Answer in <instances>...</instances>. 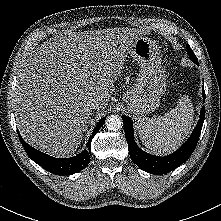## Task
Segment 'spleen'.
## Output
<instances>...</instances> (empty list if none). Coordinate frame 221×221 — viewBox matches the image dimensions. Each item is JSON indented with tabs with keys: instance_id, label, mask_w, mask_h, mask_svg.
I'll list each match as a JSON object with an SVG mask.
<instances>
[{
	"instance_id": "obj_1",
	"label": "spleen",
	"mask_w": 221,
	"mask_h": 221,
	"mask_svg": "<svg viewBox=\"0 0 221 221\" xmlns=\"http://www.w3.org/2000/svg\"><path fill=\"white\" fill-rule=\"evenodd\" d=\"M193 104L183 95L170 112L157 118L138 117L135 128L142 143L154 152H171L189 134L193 122Z\"/></svg>"
}]
</instances>
